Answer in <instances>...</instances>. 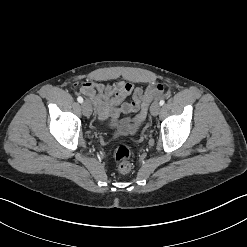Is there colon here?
Segmentation results:
<instances>
[{
	"instance_id": "1",
	"label": "colon",
	"mask_w": 247,
	"mask_h": 247,
	"mask_svg": "<svg viewBox=\"0 0 247 247\" xmlns=\"http://www.w3.org/2000/svg\"><path fill=\"white\" fill-rule=\"evenodd\" d=\"M131 155V149L126 143L120 142L116 145L114 158L118 172L125 174L131 170Z\"/></svg>"
}]
</instances>
